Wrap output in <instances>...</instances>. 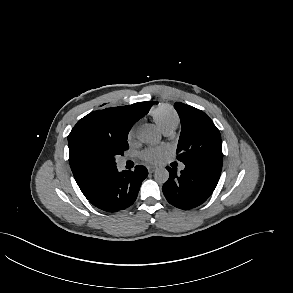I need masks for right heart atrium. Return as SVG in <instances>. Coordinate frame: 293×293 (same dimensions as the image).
<instances>
[{
	"label": "right heart atrium",
	"mask_w": 293,
	"mask_h": 293,
	"mask_svg": "<svg viewBox=\"0 0 293 293\" xmlns=\"http://www.w3.org/2000/svg\"><path fill=\"white\" fill-rule=\"evenodd\" d=\"M134 136H135V127H132L130 131L128 132V137H127L128 141H131L134 138Z\"/></svg>",
	"instance_id": "1"
}]
</instances>
